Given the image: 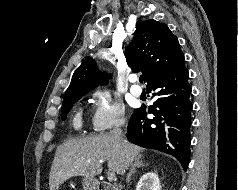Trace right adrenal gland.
<instances>
[{"mask_svg": "<svg viewBox=\"0 0 238 190\" xmlns=\"http://www.w3.org/2000/svg\"><path fill=\"white\" fill-rule=\"evenodd\" d=\"M148 164H145L142 160L141 157H138L134 160V163L132 164V167L130 169V172L129 174L127 175V183L129 184L130 181H131V176L136 173V169L137 168H140V167H145L147 166Z\"/></svg>", "mask_w": 238, "mask_h": 190, "instance_id": "obj_1", "label": "right adrenal gland"}]
</instances>
